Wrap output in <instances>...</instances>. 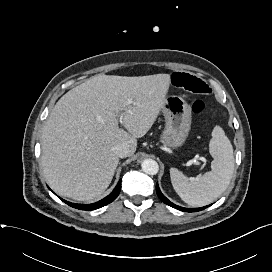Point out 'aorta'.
Instances as JSON below:
<instances>
[{
    "mask_svg": "<svg viewBox=\"0 0 272 272\" xmlns=\"http://www.w3.org/2000/svg\"><path fill=\"white\" fill-rule=\"evenodd\" d=\"M142 170L148 175H156L159 171L158 163L153 159H145L141 164Z\"/></svg>",
    "mask_w": 272,
    "mask_h": 272,
    "instance_id": "obj_1",
    "label": "aorta"
}]
</instances>
